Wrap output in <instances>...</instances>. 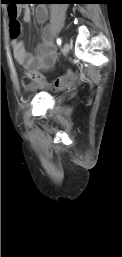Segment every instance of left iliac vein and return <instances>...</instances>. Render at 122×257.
<instances>
[{"label":"left iliac vein","instance_id":"1","mask_svg":"<svg viewBox=\"0 0 122 257\" xmlns=\"http://www.w3.org/2000/svg\"><path fill=\"white\" fill-rule=\"evenodd\" d=\"M70 48H71V47H70V44L66 43V44L64 45V47H63V53H64V55H66V54L69 53Z\"/></svg>","mask_w":122,"mask_h":257}]
</instances>
